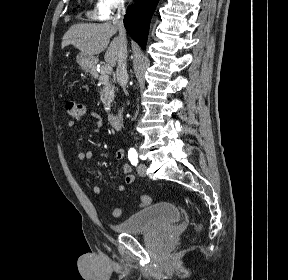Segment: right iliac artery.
Instances as JSON below:
<instances>
[{"mask_svg": "<svg viewBox=\"0 0 288 280\" xmlns=\"http://www.w3.org/2000/svg\"><path fill=\"white\" fill-rule=\"evenodd\" d=\"M128 158L131 162L132 165L137 164L138 163V155L137 152L134 148H130L128 151Z\"/></svg>", "mask_w": 288, "mask_h": 280, "instance_id": "1", "label": "right iliac artery"}]
</instances>
